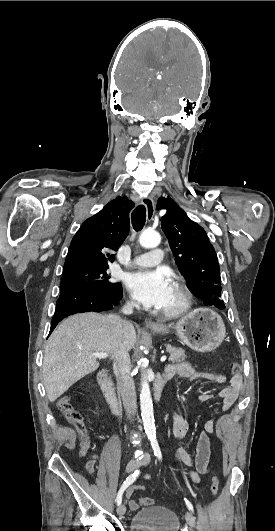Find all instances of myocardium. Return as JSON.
Here are the masks:
<instances>
[{
  "mask_svg": "<svg viewBox=\"0 0 275 531\" xmlns=\"http://www.w3.org/2000/svg\"><path fill=\"white\" fill-rule=\"evenodd\" d=\"M173 285L179 293L180 299L176 306L166 309L159 310V313L165 317H177L184 314L191 305V293L188 287L179 280L173 281Z\"/></svg>",
  "mask_w": 275,
  "mask_h": 531,
  "instance_id": "1",
  "label": "myocardium"
}]
</instances>
